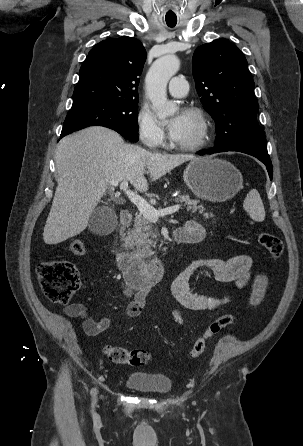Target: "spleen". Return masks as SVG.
Segmentation results:
<instances>
[{
  "mask_svg": "<svg viewBox=\"0 0 303 446\" xmlns=\"http://www.w3.org/2000/svg\"><path fill=\"white\" fill-rule=\"evenodd\" d=\"M243 208L252 220L262 222L265 219V209L259 192L252 189L243 202Z\"/></svg>",
  "mask_w": 303,
  "mask_h": 446,
  "instance_id": "spleen-1",
  "label": "spleen"
}]
</instances>
